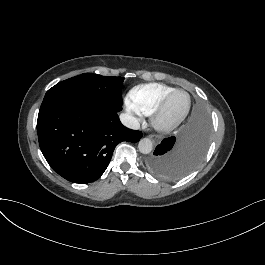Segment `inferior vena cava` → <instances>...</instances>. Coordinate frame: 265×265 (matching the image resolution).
Masks as SVG:
<instances>
[{
	"label": "inferior vena cava",
	"instance_id": "602c4592",
	"mask_svg": "<svg viewBox=\"0 0 265 265\" xmlns=\"http://www.w3.org/2000/svg\"><path fill=\"white\" fill-rule=\"evenodd\" d=\"M120 121L124 126L130 129L138 130L140 128L138 120L129 113L120 114Z\"/></svg>",
	"mask_w": 265,
	"mask_h": 265
}]
</instances>
